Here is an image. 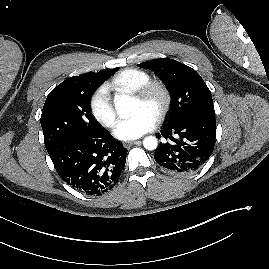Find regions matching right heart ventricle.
Segmentation results:
<instances>
[{
	"label": "right heart ventricle",
	"instance_id": "1",
	"mask_svg": "<svg viewBox=\"0 0 269 269\" xmlns=\"http://www.w3.org/2000/svg\"><path fill=\"white\" fill-rule=\"evenodd\" d=\"M149 80L148 72L137 68H126L111 79L109 87L118 93L133 94Z\"/></svg>",
	"mask_w": 269,
	"mask_h": 269
}]
</instances>
